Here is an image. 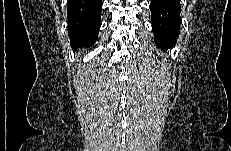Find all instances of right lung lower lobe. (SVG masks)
Masks as SVG:
<instances>
[{
  "mask_svg": "<svg viewBox=\"0 0 231 151\" xmlns=\"http://www.w3.org/2000/svg\"><path fill=\"white\" fill-rule=\"evenodd\" d=\"M102 0H68V34L73 50L89 48L97 40Z\"/></svg>",
  "mask_w": 231,
  "mask_h": 151,
  "instance_id": "obj_1",
  "label": "right lung lower lobe"
}]
</instances>
